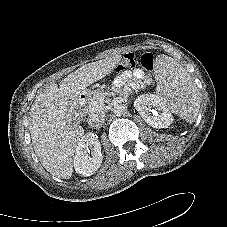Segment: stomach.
Masks as SVG:
<instances>
[{
	"label": "stomach",
	"instance_id": "0dacf381",
	"mask_svg": "<svg viewBox=\"0 0 227 227\" xmlns=\"http://www.w3.org/2000/svg\"><path fill=\"white\" fill-rule=\"evenodd\" d=\"M82 94L86 95L87 97H89V91H83Z\"/></svg>",
	"mask_w": 227,
	"mask_h": 227
}]
</instances>
